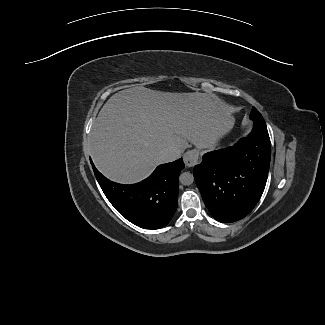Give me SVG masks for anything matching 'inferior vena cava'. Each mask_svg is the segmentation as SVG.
<instances>
[{
    "label": "inferior vena cava",
    "instance_id": "1",
    "mask_svg": "<svg viewBox=\"0 0 325 325\" xmlns=\"http://www.w3.org/2000/svg\"><path fill=\"white\" fill-rule=\"evenodd\" d=\"M161 158L164 162H171L179 158V155L175 149L166 148L161 152Z\"/></svg>",
    "mask_w": 325,
    "mask_h": 325
}]
</instances>
